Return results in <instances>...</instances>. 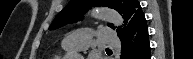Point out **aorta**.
Here are the masks:
<instances>
[{"label":"aorta","mask_w":193,"mask_h":59,"mask_svg":"<svg viewBox=\"0 0 193 59\" xmlns=\"http://www.w3.org/2000/svg\"><path fill=\"white\" fill-rule=\"evenodd\" d=\"M90 15L91 17L98 19V20L104 19L107 22L114 24L115 26L123 25L122 16L113 9L98 7V8L92 9L90 11ZM72 57L73 59H82L81 55H74Z\"/></svg>","instance_id":"aorta-1"}]
</instances>
